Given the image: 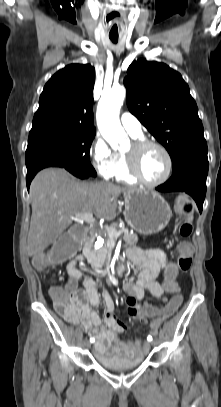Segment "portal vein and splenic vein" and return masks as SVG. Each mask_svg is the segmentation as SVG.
Here are the masks:
<instances>
[{
    "mask_svg": "<svg viewBox=\"0 0 221 407\" xmlns=\"http://www.w3.org/2000/svg\"><path fill=\"white\" fill-rule=\"evenodd\" d=\"M74 220H83L87 222L88 224H93L95 222V218L93 217V214L91 212L87 213H79L71 217ZM107 233L110 237L117 238L120 236L121 231H117L114 227H106Z\"/></svg>",
    "mask_w": 221,
    "mask_h": 407,
    "instance_id": "obj_1",
    "label": "portal vein and splenic vein"
}]
</instances>
